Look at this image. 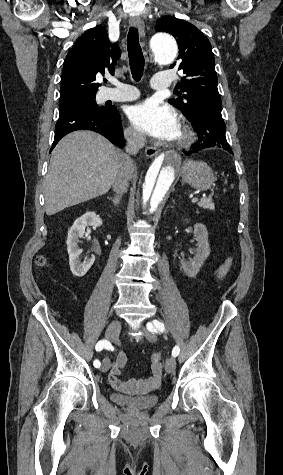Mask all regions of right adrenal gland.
<instances>
[{
	"label": "right adrenal gland",
	"instance_id": "1",
	"mask_svg": "<svg viewBox=\"0 0 283 475\" xmlns=\"http://www.w3.org/2000/svg\"><path fill=\"white\" fill-rule=\"evenodd\" d=\"M107 200H111L113 202L114 206H118L120 202V196H115V198H107Z\"/></svg>",
	"mask_w": 283,
	"mask_h": 475
}]
</instances>
